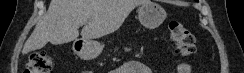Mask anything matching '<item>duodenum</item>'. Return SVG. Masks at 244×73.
Listing matches in <instances>:
<instances>
[{"label": "duodenum", "mask_w": 244, "mask_h": 73, "mask_svg": "<svg viewBox=\"0 0 244 73\" xmlns=\"http://www.w3.org/2000/svg\"><path fill=\"white\" fill-rule=\"evenodd\" d=\"M76 50H77V51H83V50H84L83 45H82L81 43H78V44L76 45Z\"/></svg>", "instance_id": "obj_1"}]
</instances>
